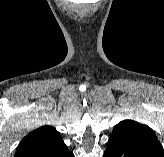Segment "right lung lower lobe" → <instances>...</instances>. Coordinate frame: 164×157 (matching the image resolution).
I'll return each mask as SVG.
<instances>
[{"label":"right lung lower lobe","mask_w":164,"mask_h":157,"mask_svg":"<svg viewBox=\"0 0 164 157\" xmlns=\"http://www.w3.org/2000/svg\"><path fill=\"white\" fill-rule=\"evenodd\" d=\"M34 157H74V154L67 149L65 143L61 140L54 146L45 150Z\"/></svg>","instance_id":"right-lung-lower-lobe-1"}]
</instances>
